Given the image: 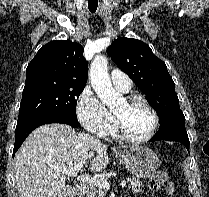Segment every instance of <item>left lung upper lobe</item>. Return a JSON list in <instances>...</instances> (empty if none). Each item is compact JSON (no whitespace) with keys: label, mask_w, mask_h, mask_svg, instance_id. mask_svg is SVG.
Returning <instances> with one entry per match:
<instances>
[{"label":"left lung upper lobe","mask_w":209,"mask_h":197,"mask_svg":"<svg viewBox=\"0 0 209 197\" xmlns=\"http://www.w3.org/2000/svg\"><path fill=\"white\" fill-rule=\"evenodd\" d=\"M107 52L148 97V103L159 116L160 128L172 122L185 121L166 64L153 54L146 43L120 37Z\"/></svg>","instance_id":"obj_1"}]
</instances>
